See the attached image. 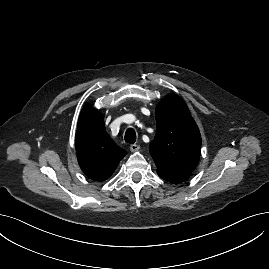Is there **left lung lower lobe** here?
<instances>
[{"mask_svg":"<svg viewBox=\"0 0 269 269\" xmlns=\"http://www.w3.org/2000/svg\"><path fill=\"white\" fill-rule=\"evenodd\" d=\"M158 175L163 178L164 180L170 182V183H181L184 182L188 179V176H182V175H169V174H163V173H158Z\"/></svg>","mask_w":269,"mask_h":269,"instance_id":"1","label":"left lung lower lobe"}]
</instances>
